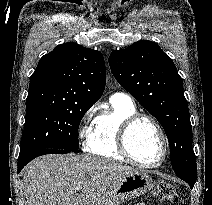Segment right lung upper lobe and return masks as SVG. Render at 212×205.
<instances>
[{"instance_id": "cb5924a9", "label": "right lung upper lobe", "mask_w": 212, "mask_h": 205, "mask_svg": "<svg viewBox=\"0 0 212 205\" xmlns=\"http://www.w3.org/2000/svg\"><path fill=\"white\" fill-rule=\"evenodd\" d=\"M105 83V62L99 51L64 43L40 59L30 77L26 105H93Z\"/></svg>"}]
</instances>
